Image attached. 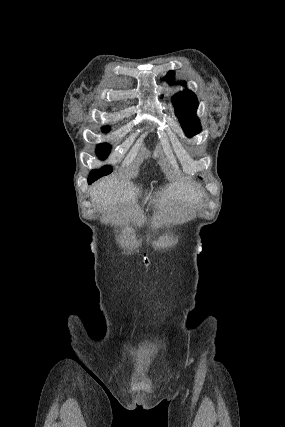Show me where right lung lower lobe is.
<instances>
[{
	"instance_id": "1",
	"label": "right lung lower lobe",
	"mask_w": 285,
	"mask_h": 427,
	"mask_svg": "<svg viewBox=\"0 0 285 427\" xmlns=\"http://www.w3.org/2000/svg\"><path fill=\"white\" fill-rule=\"evenodd\" d=\"M99 179V176L93 177V176H89L88 177V184H91L92 182H94L95 180Z\"/></svg>"
}]
</instances>
